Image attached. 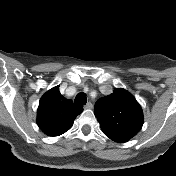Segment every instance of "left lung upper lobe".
I'll return each mask as SVG.
<instances>
[{
  "mask_svg": "<svg viewBox=\"0 0 176 176\" xmlns=\"http://www.w3.org/2000/svg\"><path fill=\"white\" fill-rule=\"evenodd\" d=\"M103 133L118 143L134 137L142 128L143 112L136 99L124 89L99 99L94 107Z\"/></svg>",
  "mask_w": 176,
  "mask_h": 176,
  "instance_id": "left-lung-upper-lobe-1",
  "label": "left lung upper lobe"
}]
</instances>
